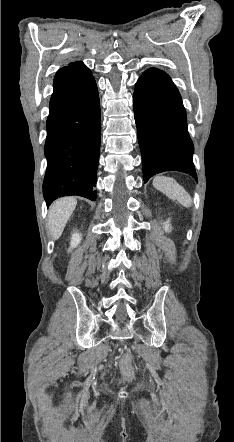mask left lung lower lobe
I'll use <instances>...</instances> for the list:
<instances>
[{"instance_id": "left-lung-lower-lobe-1", "label": "left lung lower lobe", "mask_w": 234, "mask_h": 442, "mask_svg": "<svg viewBox=\"0 0 234 442\" xmlns=\"http://www.w3.org/2000/svg\"><path fill=\"white\" fill-rule=\"evenodd\" d=\"M133 106L144 181L165 171L197 180L186 112L170 77L156 68L147 70L135 85Z\"/></svg>"}]
</instances>
